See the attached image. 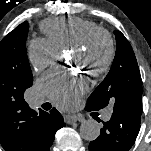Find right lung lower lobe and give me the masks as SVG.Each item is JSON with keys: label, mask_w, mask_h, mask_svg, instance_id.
Instances as JSON below:
<instances>
[{"label": "right lung lower lobe", "mask_w": 151, "mask_h": 151, "mask_svg": "<svg viewBox=\"0 0 151 151\" xmlns=\"http://www.w3.org/2000/svg\"><path fill=\"white\" fill-rule=\"evenodd\" d=\"M43 115L42 125L44 129L43 138L41 140L39 151H50L55 133L58 129L64 126V121L61 114L53 108L50 113L41 112Z\"/></svg>", "instance_id": "98d812e1"}]
</instances>
